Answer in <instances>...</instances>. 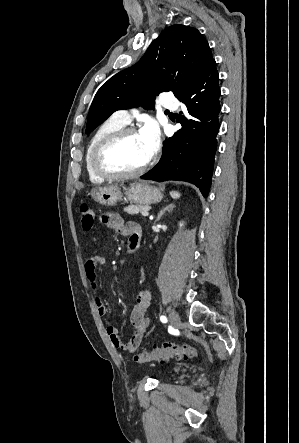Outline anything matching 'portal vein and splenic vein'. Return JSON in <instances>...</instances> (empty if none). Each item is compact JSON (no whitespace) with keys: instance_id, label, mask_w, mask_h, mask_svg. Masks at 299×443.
Segmentation results:
<instances>
[{"instance_id":"1","label":"portal vein and splenic vein","mask_w":299,"mask_h":443,"mask_svg":"<svg viewBox=\"0 0 299 443\" xmlns=\"http://www.w3.org/2000/svg\"><path fill=\"white\" fill-rule=\"evenodd\" d=\"M141 215L144 217H147L149 215V213H148V211H143V212H141Z\"/></svg>"}]
</instances>
